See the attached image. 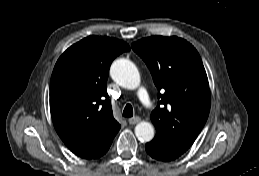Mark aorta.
Instances as JSON below:
<instances>
[{"label": "aorta", "mask_w": 259, "mask_h": 176, "mask_svg": "<svg viewBox=\"0 0 259 176\" xmlns=\"http://www.w3.org/2000/svg\"><path fill=\"white\" fill-rule=\"evenodd\" d=\"M112 79L127 89H136L140 85V74L137 67L128 59L115 60L110 68ZM135 135L141 142H149L154 138L155 131L151 123L142 121L135 127Z\"/></svg>", "instance_id": "aorta-1"}]
</instances>
